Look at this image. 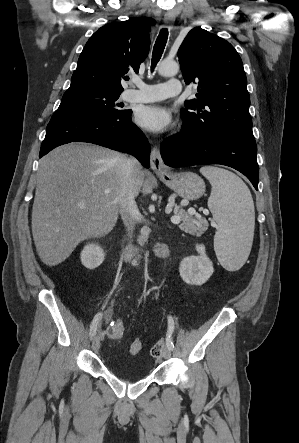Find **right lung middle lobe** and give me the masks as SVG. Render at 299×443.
<instances>
[{
    "label": "right lung middle lobe",
    "mask_w": 299,
    "mask_h": 443,
    "mask_svg": "<svg viewBox=\"0 0 299 443\" xmlns=\"http://www.w3.org/2000/svg\"><path fill=\"white\" fill-rule=\"evenodd\" d=\"M120 94L93 87L69 88L64 93L57 110L97 115L122 114L127 110L121 109L120 104L115 102Z\"/></svg>",
    "instance_id": "dd1d6c3e"
}]
</instances>
